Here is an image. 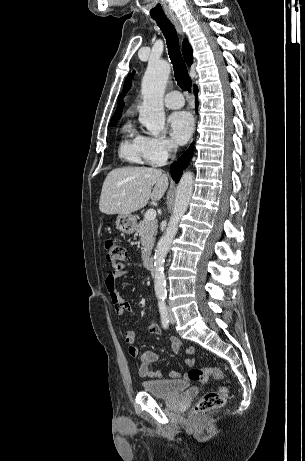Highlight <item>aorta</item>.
<instances>
[{
	"label": "aorta",
	"instance_id": "aorta-1",
	"mask_svg": "<svg viewBox=\"0 0 305 461\" xmlns=\"http://www.w3.org/2000/svg\"><path fill=\"white\" fill-rule=\"evenodd\" d=\"M170 74V65L164 60L150 61L145 71L141 92L143 103L140 108L139 121L153 136H158L165 125L163 96ZM193 173H183L176 190L173 214L168 227L160 238L154 254V290L157 297L166 295L164 262L171 244L178 231V224L187 211L193 192Z\"/></svg>",
	"mask_w": 305,
	"mask_h": 461
}]
</instances>
